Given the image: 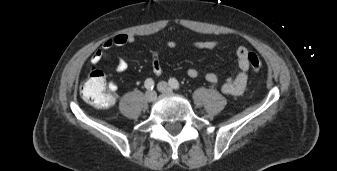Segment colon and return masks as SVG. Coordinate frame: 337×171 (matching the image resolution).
<instances>
[{"mask_svg":"<svg viewBox=\"0 0 337 171\" xmlns=\"http://www.w3.org/2000/svg\"><path fill=\"white\" fill-rule=\"evenodd\" d=\"M248 61L252 71L258 72L262 62L256 53L248 54ZM82 98L92 106L105 109L114 103V94L108 89L103 72L98 66H91V75L81 88Z\"/></svg>","mask_w":337,"mask_h":171,"instance_id":"obj_1","label":"colon"}]
</instances>
